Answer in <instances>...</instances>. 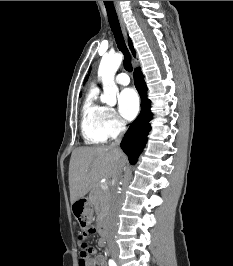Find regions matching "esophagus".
Here are the masks:
<instances>
[{
  "label": "esophagus",
  "instance_id": "1",
  "mask_svg": "<svg viewBox=\"0 0 233 266\" xmlns=\"http://www.w3.org/2000/svg\"><path fill=\"white\" fill-rule=\"evenodd\" d=\"M114 4H115V9H116V13H117L118 19H119V22H120V25H121L123 36L125 38L126 43H128L126 25H125V22H124V19H123V15H122V12H121V8H120V5H119V2L118 1H114Z\"/></svg>",
  "mask_w": 233,
  "mask_h": 266
}]
</instances>
